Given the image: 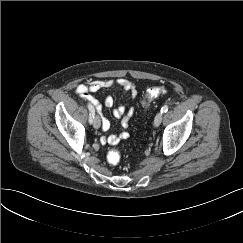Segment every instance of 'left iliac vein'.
<instances>
[{
    "instance_id": "4c4485c4",
    "label": "left iliac vein",
    "mask_w": 243,
    "mask_h": 243,
    "mask_svg": "<svg viewBox=\"0 0 243 243\" xmlns=\"http://www.w3.org/2000/svg\"><path fill=\"white\" fill-rule=\"evenodd\" d=\"M162 118H163V114L161 112L157 113V115L155 116V119H154L155 127H158L161 124Z\"/></svg>"
}]
</instances>
